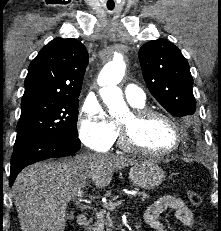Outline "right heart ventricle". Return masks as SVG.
I'll return each mask as SVG.
<instances>
[{"label":"right heart ventricle","mask_w":221,"mask_h":231,"mask_svg":"<svg viewBox=\"0 0 221 231\" xmlns=\"http://www.w3.org/2000/svg\"><path fill=\"white\" fill-rule=\"evenodd\" d=\"M132 106L134 108H142V107H144V103H142V104H132Z\"/></svg>","instance_id":"right-heart-ventricle-1"}]
</instances>
